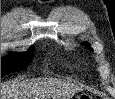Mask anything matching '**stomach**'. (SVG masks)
<instances>
[{
  "mask_svg": "<svg viewBox=\"0 0 115 99\" xmlns=\"http://www.w3.org/2000/svg\"><path fill=\"white\" fill-rule=\"evenodd\" d=\"M83 98H90V96L88 94H81V95L76 96L75 99H83Z\"/></svg>",
  "mask_w": 115,
  "mask_h": 99,
  "instance_id": "obj_1",
  "label": "stomach"
}]
</instances>
